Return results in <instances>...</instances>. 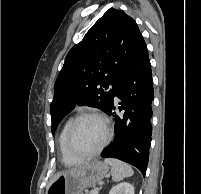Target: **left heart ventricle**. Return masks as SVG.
Here are the masks:
<instances>
[{"mask_svg": "<svg viewBox=\"0 0 201 194\" xmlns=\"http://www.w3.org/2000/svg\"><path fill=\"white\" fill-rule=\"evenodd\" d=\"M105 134L104 124L100 120L85 118L75 128L73 147L79 153H91L102 144Z\"/></svg>", "mask_w": 201, "mask_h": 194, "instance_id": "left-heart-ventricle-1", "label": "left heart ventricle"}]
</instances>
